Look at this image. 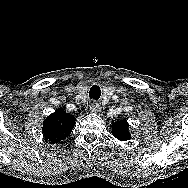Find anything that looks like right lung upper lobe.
Masks as SVG:
<instances>
[{
	"label": "right lung upper lobe",
	"instance_id": "cb5924a9",
	"mask_svg": "<svg viewBox=\"0 0 188 188\" xmlns=\"http://www.w3.org/2000/svg\"><path fill=\"white\" fill-rule=\"evenodd\" d=\"M75 117L63 111L62 109L55 110L43 122V134L46 139L52 142H60L71 133Z\"/></svg>",
	"mask_w": 188,
	"mask_h": 188
}]
</instances>
